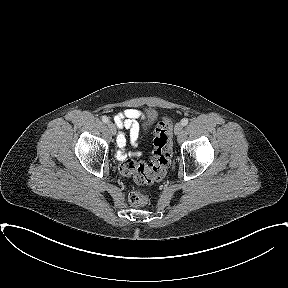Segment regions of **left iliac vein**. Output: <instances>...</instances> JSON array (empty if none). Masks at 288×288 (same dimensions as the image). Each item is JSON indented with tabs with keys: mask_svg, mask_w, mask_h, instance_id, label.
<instances>
[{
	"mask_svg": "<svg viewBox=\"0 0 288 288\" xmlns=\"http://www.w3.org/2000/svg\"><path fill=\"white\" fill-rule=\"evenodd\" d=\"M183 129V125L181 123H177L174 127V132L176 135H179Z\"/></svg>",
	"mask_w": 288,
	"mask_h": 288,
	"instance_id": "obj_1",
	"label": "left iliac vein"
}]
</instances>
